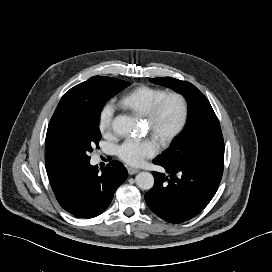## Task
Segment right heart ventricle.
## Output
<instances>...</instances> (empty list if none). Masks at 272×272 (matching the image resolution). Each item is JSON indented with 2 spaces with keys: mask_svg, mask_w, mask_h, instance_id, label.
Returning <instances> with one entry per match:
<instances>
[{
  "mask_svg": "<svg viewBox=\"0 0 272 272\" xmlns=\"http://www.w3.org/2000/svg\"><path fill=\"white\" fill-rule=\"evenodd\" d=\"M165 93L166 91L161 88L138 86L122 98L121 105L138 115L146 116L155 102Z\"/></svg>",
  "mask_w": 272,
  "mask_h": 272,
  "instance_id": "right-heart-ventricle-1",
  "label": "right heart ventricle"
}]
</instances>
